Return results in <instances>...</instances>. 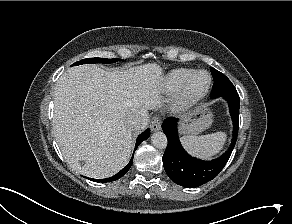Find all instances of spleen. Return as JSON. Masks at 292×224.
Wrapping results in <instances>:
<instances>
[{"label": "spleen", "mask_w": 292, "mask_h": 224, "mask_svg": "<svg viewBox=\"0 0 292 224\" xmlns=\"http://www.w3.org/2000/svg\"><path fill=\"white\" fill-rule=\"evenodd\" d=\"M226 136L220 131L202 136H183L181 142L192 156L210 159L222 150Z\"/></svg>", "instance_id": "1"}]
</instances>
